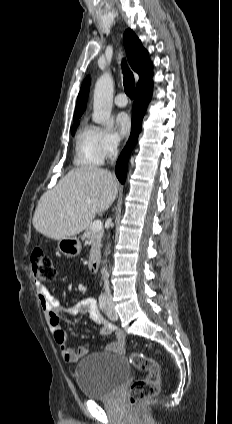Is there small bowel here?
Wrapping results in <instances>:
<instances>
[{
  "label": "small bowel",
  "mask_w": 232,
  "mask_h": 424,
  "mask_svg": "<svg viewBox=\"0 0 232 424\" xmlns=\"http://www.w3.org/2000/svg\"><path fill=\"white\" fill-rule=\"evenodd\" d=\"M34 284L40 307L47 318L54 340L59 345L60 353L65 361L75 363L87 355L89 349L84 346L78 349L68 346L67 334L61 323V317L63 315L68 317H76L78 315L89 316L100 325V334L102 336L115 335L116 340L106 346L107 352L122 354L125 351V334L103 318L94 298L87 297L72 306L62 307L58 304L54 294L46 285L39 281H36ZM72 287L73 285L71 284L69 289H72Z\"/></svg>",
  "instance_id": "small-bowel-1"
}]
</instances>
